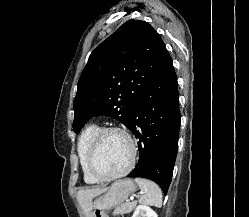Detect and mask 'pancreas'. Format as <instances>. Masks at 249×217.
<instances>
[{"instance_id":"obj_1","label":"pancreas","mask_w":249,"mask_h":217,"mask_svg":"<svg viewBox=\"0 0 249 217\" xmlns=\"http://www.w3.org/2000/svg\"><path fill=\"white\" fill-rule=\"evenodd\" d=\"M137 202H131V203H123L120 206H118L115 211L114 214H128L130 212H132V210H134V208L136 207Z\"/></svg>"}]
</instances>
